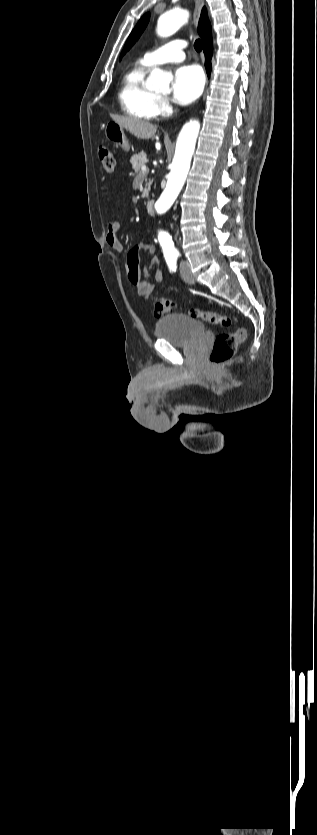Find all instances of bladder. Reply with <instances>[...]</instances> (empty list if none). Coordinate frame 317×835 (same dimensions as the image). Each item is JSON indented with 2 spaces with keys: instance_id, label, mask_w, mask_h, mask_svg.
I'll return each instance as SVG.
<instances>
[{
  "instance_id": "31cf9c89",
  "label": "bladder",
  "mask_w": 317,
  "mask_h": 835,
  "mask_svg": "<svg viewBox=\"0 0 317 835\" xmlns=\"http://www.w3.org/2000/svg\"><path fill=\"white\" fill-rule=\"evenodd\" d=\"M204 334L205 326L200 320L180 313L164 315L155 325L156 337L176 346H187Z\"/></svg>"
}]
</instances>
